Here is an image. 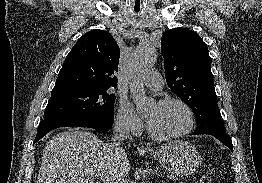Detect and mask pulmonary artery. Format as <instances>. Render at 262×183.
<instances>
[{
  "mask_svg": "<svg viewBox=\"0 0 262 183\" xmlns=\"http://www.w3.org/2000/svg\"><path fill=\"white\" fill-rule=\"evenodd\" d=\"M144 83L152 90H160L163 85V78L157 71L150 72L145 78Z\"/></svg>",
  "mask_w": 262,
  "mask_h": 183,
  "instance_id": "obj_1",
  "label": "pulmonary artery"
}]
</instances>
